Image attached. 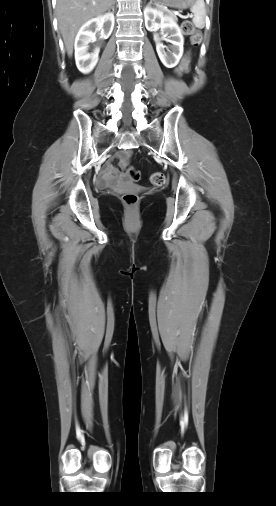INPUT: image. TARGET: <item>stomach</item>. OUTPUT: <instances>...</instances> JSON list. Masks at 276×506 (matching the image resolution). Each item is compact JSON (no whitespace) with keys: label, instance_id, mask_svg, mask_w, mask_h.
I'll list each match as a JSON object with an SVG mask.
<instances>
[{"label":"stomach","instance_id":"0dacf381","mask_svg":"<svg viewBox=\"0 0 276 506\" xmlns=\"http://www.w3.org/2000/svg\"><path fill=\"white\" fill-rule=\"evenodd\" d=\"M153 2L159 7L167 6L177 9H186L193 3V0H153Z\"/></svg>","mask_w":276,"mask_h":506}]
</instances>
